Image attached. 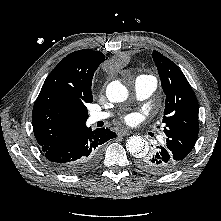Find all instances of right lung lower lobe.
<instances>
[{"label":"right lung lower lobe","instance_id":"98d812e1","mask_svg":"<svg viewBox=\"0 0 221 221\" xmlns=\"http://www.w3.org/2000/svg\"><path fill=\"white\" fill-rule=\"evenodd\" d=\"M115 137L116 133L108 128L92 131L85 125L61 141L41 148L56 170L64 174H82L97 165L101 145Z\"/></svg>","mask_w":221,"mask_h":221}]
</instances>
